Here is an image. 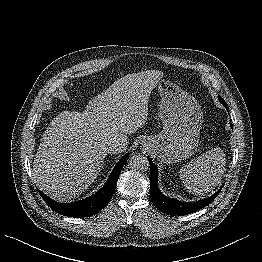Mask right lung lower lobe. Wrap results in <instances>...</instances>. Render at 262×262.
Returning <instances> with one entry per match:
<instances>
[{"label": "right lung lower lobe", "mask_w": 262, "mask_h": 262, "mask_svg": "<svg viewBox=\"0 0 262 262\" xmlns=\"http://www.w3.org/2000/svg\"><path fill=\"white\" fill-rule=\"evenodd\" d=\"M129 154L116 164L105 185L92 196L72 203H58L39 191L43 200L55 212L68 217H88L101 211L113 196L119 174L127 162Z\"/></svg>", "instance_id": "obj_1"}]
</instances>
